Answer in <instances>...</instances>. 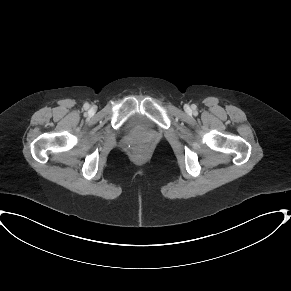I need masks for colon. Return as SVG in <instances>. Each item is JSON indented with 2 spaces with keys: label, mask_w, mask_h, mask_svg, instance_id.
<instances>
[{
  "label": "colon",
  "mask_w": 291,
  "mask_h": 291,
  "mask_svg": "<svg viewBox=\"0 0 291 291\" xmlns=\"http://www.w3.org/2000/svg\"><path fill=\"white\" fill-rule=\"evenodd\" d=\"M133 153L136 157H141L144 151L141 148H136Z\"/></svg>",
  "instance_id": "5ec220e1"
}]
</instances>
